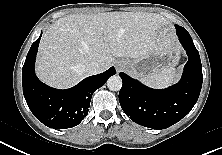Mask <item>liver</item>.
I'll return each instance as SVG.
<instances>
[{
	"label": "liver",
	"instance_id": "6515ba94",
	"mask_svg": "<svg viewBox=\"0 0 222 155\" xmlns=\"http://www.w3.org/2000/svg\"><path fill=\"white\" fill-rule=\"evenodd\" d=\"M164 23L158 14L133 12L60 18L40 41L37 76L50 86L68 88L88 76L86 66L90 62H98L103 72L115 58H143Z\"/></svg>",
	"mask_w": 222,
	"mask_h": 155
}]
</instances>
